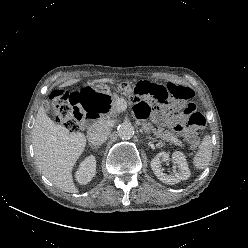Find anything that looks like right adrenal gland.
<instances>
[{
  "mask_svg": "<svg viewBox=\"0 0 248 248\" xmlns=\"http://www.w3.org/2000/svg\"><path fill=\"white\" fill-rule=\"evenodd\" d=\"M89 146H90L92 149H96V150L99 149V146H95V145H92V144H89Z\"/></svg>",
  "mask_w": 248,
  "mask_h": 248,
  "instance_id": "1",
  "label": "right adrenal gland"
}]
</instances>
